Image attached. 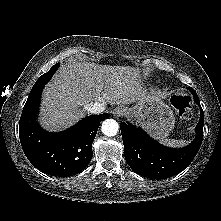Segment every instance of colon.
I'll use <instances>...</instances> for the list:
<instances>
[{
    "label": "colon",
    "instance_id": "colon-1",
    "mask_svg": "<svg viewBox=\"0 0 221 221\" xmlns=\"http://www.w3.org/2000/svg\"><path fill=\"white\" fill-rule=\"evenodd\" d=\"M171 104L177 109L179 114L184 119H190L191 112V97L185 92L176 93L171 97Z\"/></svg>",
    "mask_w": 221,
    "mask_h": 221
}]
</instances>
